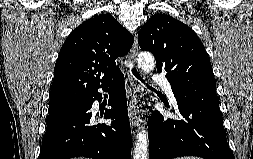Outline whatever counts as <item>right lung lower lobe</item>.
<instances>
[{
	"mask_svg": "<svg viewBox=\"0 0 253 159\" xmlns=\"http://www.w3.org/2000/svg\"><path fill=\"white\" fill-rule=\"evenodd\" d=\"M108 105L112 109L100 111L111 123H95L92 104L101 101L98 90L76 106L46 122L38 159H69L84 156L93 159H130L131 129L127 112L124 75L120 73L110 84ZM110 90V89H109Z\"/></svg>",
	"mask_w": 253,
	"mask_h": 159,
	"instance_id": "obj_1",
	"label": "right lung lower lobe"
}]
</instances>
